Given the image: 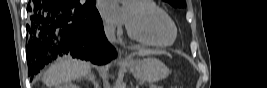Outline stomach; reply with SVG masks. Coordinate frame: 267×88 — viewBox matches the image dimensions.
I'll list each match as a JSON object with an SVG mask.
<instances>
[{"mask_svg": "<svg viewBox=\"0 0 267 88\" xmlns=\"http://www.w3.org/2000/svg\"><path fill=\"white\" fill-rule=\"evenodd\" d=\"M128 68L135 78L148 82H156L169 75L164 63L153 57L134 60L128 64Z\"/></svg>", "mask_w": 267, "mask_h": 88, "instance_id": "1", "label": "stomach"}]
</instances>
